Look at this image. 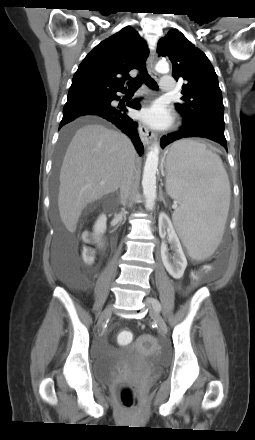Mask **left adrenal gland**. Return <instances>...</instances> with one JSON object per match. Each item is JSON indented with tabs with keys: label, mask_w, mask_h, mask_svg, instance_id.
<instances>
[{
	"label": "left adrenal gland",
	"mask_w": 255,
	"mask_h": 440,
	"mask_svg": "<svg viewBox=\"0 0 255 440\" xmlns=\"http://www.w3.org/2000/svg\"><path fill=\"white\" fill-rule=\"evenodd\" d=\"M162 201H163V203L165 204V200H164V198H162Z\"/></svg>",
	"instance_id": "1"
}]
</instances>
